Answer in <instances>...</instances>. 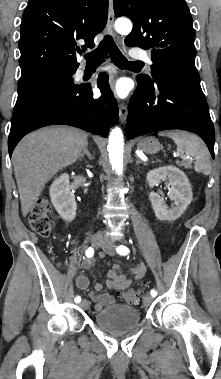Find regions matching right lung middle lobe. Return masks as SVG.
<instances>
[{
  "instance_id": "obj_1",
  "label": "right lung middle lobe",
  "mask_w": 221,
  "mask_h": 379,
  "mask_svg": "<svg viewBox=\"0 0 221 379\" xmlns=\"http://www.w3.org/2000/svg\"><path fill=\"white\" fill-rule=\"evenodd\" d=\"M75 71L76 69H56L19 82L18 98L13 110V117L23 111L38 94L50 90L55 83L73 84L72 75Z\"/></svg>"
}]
</instances>
